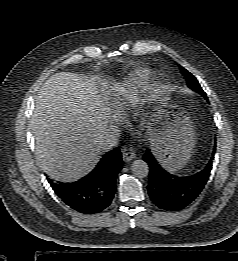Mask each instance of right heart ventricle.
<instances>
[{
	"label": "right heart ventricle",
	"instance_id": "1",
	"mask_svg": "<svg viewBox=\"0 0 238 261\" xmlns=\"http://www.w3.org/2000/svg\"><path fill=\"white\" fill-rule=\"evenodd\" d=\"M152 78V72L148 69H142L138 71L131 82L132 88L138 91L139 89L143 88L145 84ZM119 106L118 109L122 108L123 103L117 102Z\"/></svg>",
	"mask_w": 238,
	"mask_h": 261
}]
</instances>
